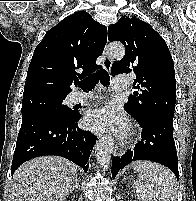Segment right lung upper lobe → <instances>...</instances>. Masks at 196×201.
<instances>
[{"label": "right lung upper lobe", "instance_id": "right-lung-upper-lobe-1", "mask_svg": "<svg viewBox=\"0 0 196 201\" xmlns=\"http://www.w3.org/2000/svg\"><path fill=\"white\" fill-rule=\"evenodd\" d=\"M107 42V27L86 11L72 14L50 29L34 50L23 98L66 96L70 85L94 72ZM80 70L82 73H78Z\"/></svg>", "mask_w": 196, "mask_h": 201}]
</instances>
